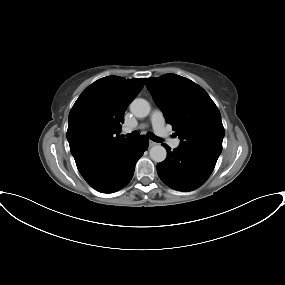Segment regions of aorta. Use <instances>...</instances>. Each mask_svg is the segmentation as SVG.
<instances>
[{"label":"aorta","mask_w":285,"mask_h":285,"mask_svg":"<svg viewBox=\"0 0 285 285\" xmlns=\"http://www.w3.org/2000/svg\"><path fill=\"white\" fill-rule=\"evenodd\" d=\"M130 111L134 116L144 118L150 113V105L145 99L136 98L130 104ZM149 155L153 161L159 163L166 159L167 152L163 146L155 145L150 149Z\"/></svg>","instance_id":"obj_1"}]
</instances>
